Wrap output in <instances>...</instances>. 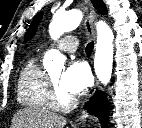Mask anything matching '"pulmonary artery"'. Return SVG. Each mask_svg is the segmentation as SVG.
Instances as JSON below:
<instances>
[{"label":"pulmonary artery","mask_w":142,"mask_h":128,"mask_svg":"<svg viewBox=\"0 0 142 128\" xmlns=\"http://www.w3.org/2000/svg\"><path fill=\"white\" fill-rule=\"evenodd\" d=\"M57 48L67 53H74L78 49V40L75 36L69 35L57 43Z\"/></svg>","instance_id":"e3ab8cb5"}]
</instances>
